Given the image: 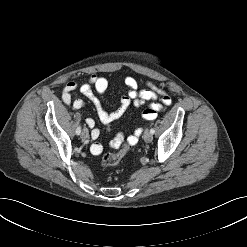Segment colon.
<instances>
[{
    "instance_id": "colon-1",
    "label": "colon",
    "mask_w": 247,
    "mask_h": 247,
    "mask_svg": "<svg viewBox=\"0 0 247 247\" xmlns=\"http://www.w3.org/2000/svg\"><path fill=\"white\" fill-rule=\"evenodd\" d=\"M114 146L117 148L116 151L108 152L102 156L101 164L103 167L116 166L130 149V145L128 143L121 142V140H118Z\"/></svg>"
}]
</instances>
